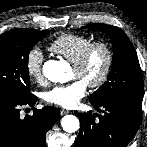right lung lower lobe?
Returning a JSON list of instances; mask_svg holds the SVG:
<instances>
[{
  "mask_svg": "<svg viewBox=\"0 0 147 147\" xmlns=\"http://www.w3.org/2000/svg\"><path fill=\"white\" fill-rule=\"evenodd\" d=\"M37 98L19 101L0 100V147H45L46 132L59 119V111L53 106L34 110L32 116L20 117V106H34Z\"/></svg>",
  "mask_w": 147,
  "mask_h": 147,
  "instance_id": "1",
  "label": "right lung lower lobe"
}]
</instances>
